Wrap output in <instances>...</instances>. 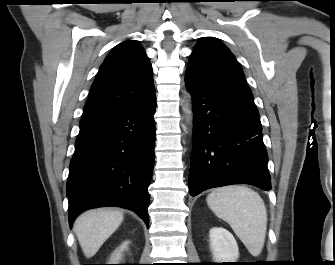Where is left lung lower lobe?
<instances>
[{
    "label": "left lung lower lobe",
    "instance_id": "left-lung-lower-lobe-1",
    "mask_svg": "<svg viewBox=\"0 0 335 265\" xmlns=\"http://www.w3.org/2000/svg\"><path fill=\"white\" fill-rule=\"evenodd\" d=\"M194 131L189 193L250 184L271 189L262 125L253 101L212 86L186 71Z\"/></svg>",
    "mask_w": 335,
    "mask_h": 265
}]
</instances>
